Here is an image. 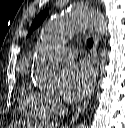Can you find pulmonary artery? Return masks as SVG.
Here are the masks:
<instances>
[{
    "label": "pulmonary artery",
    "mask_w": 125,
    "mask_h": 128,
    "mask_svg": "<svg viewBox=\"0 0 125 128\" xmlns=\"http://www.w3.org/2000/svg\"><path fill=\"white\" fill-rule=\"evenodd\" d=\"M77 54L75 48L64 47L63 45H57L54 47L51 56L57 60H71Z\"/></svg>",
    "instance_id": "pulmonary-artery-1"
}]
</instances>
